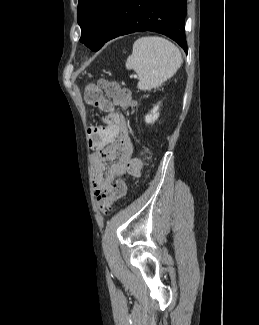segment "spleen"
<instances>
[{
	"label": "spleen",
	"instance_id": "3e777b00",
	"mask_svg": "<svg viewBox=\"0 0 259 325\" xmlns=\"http://www.w3.org/2000/svg\"><path fill=\"white\" fill-rule=\"evenodd\" d=\"M181 64V53L172 42L163 37L146 36L134 42L125 65L137 73L138 89L151 90L171 78Z\"/></svg>",
	"mask_w": 259,
	"mask_h": 325
}]
</instances>
